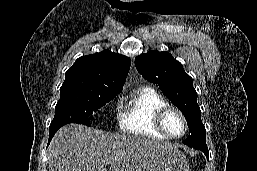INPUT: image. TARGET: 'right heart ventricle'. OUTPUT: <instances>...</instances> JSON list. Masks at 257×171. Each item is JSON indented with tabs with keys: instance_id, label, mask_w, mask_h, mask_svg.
<instances>
[{
	"instance_id": "obj_1",
	"label": "right heart ventricle",
	"mask_w": 257,
	"mask_h": 171,
	"mask_svg": "<svg viewBox=\"0 0 257 171\" xmlns=\"http://www.w3.org/2000/svg\"><path fill=\"white\" fill-rule=\"evenodd\" d=\"M167 104L157 90L151 87L139 89L123 107L120 129L129 134L168 139L154 123L157 111Z\"/></svg>"
}]
</instances>
